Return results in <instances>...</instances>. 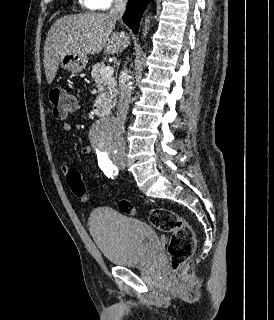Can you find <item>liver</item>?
Instances as JSON below:
<instances>
[{"mask_svg":"<svg viewBox=\"0 0 274 320\" xmlns=\"http://www.w3.org/2000/svg\"><path fill=\"white\" fill-rule=\"evenodd\" d=\"M117 20L103 12H87L63 16L51 26L44 44V68L48 84H52L59 62L66 54L85 58L88 54H118L127 46L115 34ZM112 34V36H111Z\"/></svg>","mask_w":274,"mask_h":320,"instance_id":"liver-1","label":"liver"}]
</instances>
